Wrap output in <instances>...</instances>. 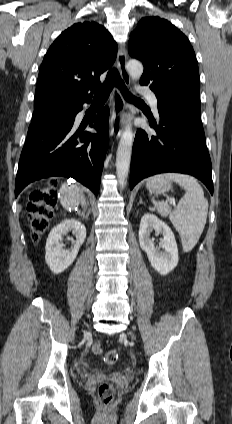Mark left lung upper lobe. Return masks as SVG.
Segmentation results:
<instances>
[{
	"label": "left lung upper lobe",
	"mask_w": 232,
	"mask_h": 424,
	"mask_svg": "<svg viewBox=\"0 0 232 424\" xmlns=\"http://www.w3.org/2000/svg\"><path fill=\"white\" fill-rule=\"evenodd\" d=\"M129 54L142 61L141 85H148L156 97L200 98L197 60L188 38L169 21L145 17L131 33Z\"/></svg>",
	"instance_id": "1"
}]
</instances>
